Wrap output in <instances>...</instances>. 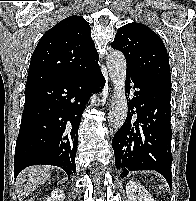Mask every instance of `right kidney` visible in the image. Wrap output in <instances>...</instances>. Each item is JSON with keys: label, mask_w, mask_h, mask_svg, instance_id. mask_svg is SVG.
I'll use <instances>...</instances> for the list:
<instances>
[{"label": "right kidney", "mask_w": 196, "mask_h": 201, "mask_svg": "<svg viewBox=\"0 0 196 201\" xmlns=\"http://www.w3.org/2000/svg\"><path fill=\"white\" fill-rule=\"evenodd\" d=\"M64 198H65L64 192L57 188L51 192L50 196L46 198V201H63Z\"/></svg>", "instance_id": "1"}]
</instances>
